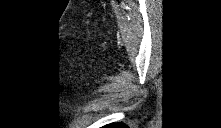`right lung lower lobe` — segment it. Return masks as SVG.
Returning a JSON list of instances; mask_svg holds the SVG:
<instances>
[{"label": "right lung lower lobe", "instance_id": "1", "mask_svg": "<svg viewBox=\"0 0 221 128\" xmlns=\"http://www.w3.org/2000/svg\"><path fill=\"white\" fill-rule=\"evenodd\" d=\"M105 128H124L125 125H122V124H110V125H106L104 126Z\"/></svg>", "mask_w": 221, "mask_h": 128}]
</instances>
